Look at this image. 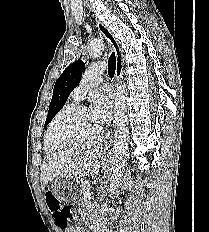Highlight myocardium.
<instances>
[{
	"label": "myocardium",
	"mask_w": 209,
	"mask_h": 232,
	"mask_svg": "<svg viewBox=\"0 0 209 232\" xmlns=\"http://www.w3.org/2000/svg\"><path fill=\"white\" fill-rule=\"evenodd\" d=\"M86 109H88V107L85 105H74L73 107H71V108L67 109L65 112H63L55 122L51 123L49 128H48V135H49V139H50L51 143L56 145V146L61 147V146L70 145V144H73L76 142L89 140V139H92V138L99 136L102 132L101 125H99V127L97 128L96 131H94L91 134L85 135V136L61 139L55 135V128L59 123H61L62 121L66 120L72 116H75L76 114H78Z\"/></svg>",
	"instance_id": "1"
}]
</instances>
